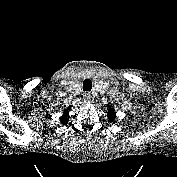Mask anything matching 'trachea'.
Listing matches in <instances>:
<instances>
[{
	"label": "trachea",
	"instance_id": "obj_1",
	"mask_svg": "<svg viewBox=\"0 0 177 177\" xmlns=\"http://www.w3.org/2000/svg\"><path fill=\"white\" fill-rule=\"evenodd\" d=\"M92 89V82L89 78L83 81V91L89 92Z\"/></svg>",
	"mask_w": 177,
	"mask_h": 177
}]
</instances>
